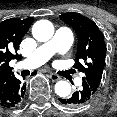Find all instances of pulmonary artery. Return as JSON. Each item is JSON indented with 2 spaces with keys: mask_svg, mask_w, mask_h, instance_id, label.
I'll use <instances>...</instances> for the list:
<instances>
[{
  "mask_svg": "<svg viewBox=\"0 0 117 117\" xmlns=\"http://www.w3.org/2000/svg\"><path fill=\"white\" fill-rule=\"evenodd\" d=\"M73 43V34L67 27H59L53 38L39 46L31 55L23 60V65L27 68H36L46 63L57 53H66ZM75 82L81 84V78H76Z\"/></svg>",
  "mask_w": 117,
  "mask_h": 117,
  "instance_id": "e3ab8cb5",
  "label": "pulmonary artery"
}]
</instances>
